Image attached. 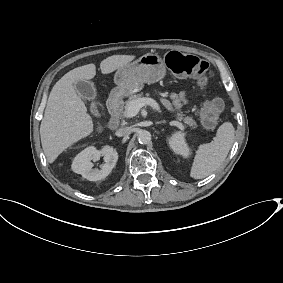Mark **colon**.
I'll return each mask as SVG.
<instances>
[{"label": "colon", "mask_w": 283, "mask_h": 283, "mask_svg": "<svg viewBox=\"0 0 283 283\" xmlns=\"http://www.w3.org/2000/svg\"><path fill=\"white\" fill-rule=\"evenodd\" d=\"M168 68L179 76H191L204 83L212 76L209 64L194 55L171 51L166 55ZM222 111V102L214 98L206 101L200 111L203 124L212 127L217 122Z\"/></svg>", "instance_id": "1"}]
</instances>
